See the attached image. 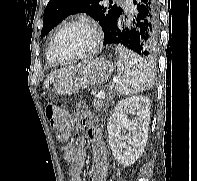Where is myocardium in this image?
Returning a JSON list of instances; mask_svg holds the SVG:
<instances>
[{"instance_id": "myocardium-1", "label": "myocardium", "mask_w": 197, "mask_h": 181, "mask_svg": "<svg viewBox=\"0 0 197 181\" xmlns=\"http://www.w3.org/2000/svg\"><path fill=\"white\" fill-rule=\"evenodd\" d=\"M77 24L85 25L91 29L93 33V43L90 46V48L86 50L85 52L80 53L69 59H63L60 57L59 52H58V47H57L59 38L66 28L72 25H77ZM101 42H102V33L100 30V27L94 20L89 19V18H84V17L71 19L65 22L63 25H61L58 31L56 32L54 39H53V55L58 63H61V64L72 63V62H75L84 58H88L94 55L99 49Z\"/></svg>"}]
</instances>
